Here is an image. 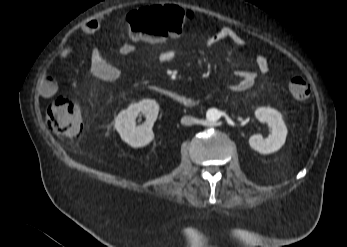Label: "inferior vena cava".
Masks as SVG:
<instances>
[{"label":"inferior vena cava","instance_id":"obj_1","mask_svg":"<svg viewBox=\"0 0 347 247\" xmlns=\"http://www.w3.org/2000/svg\"><path fill=\"white\" fill-rule=\"evenodd\" d=\"M181 123L183 125H192V124L196 123V119L191 117V116H184L181 118Z\"/></svg>","mask_w":347,"mask_h":247}]
</instances>
